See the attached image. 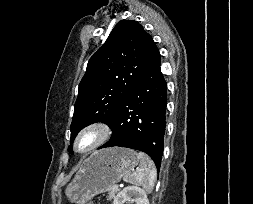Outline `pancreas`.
Returning <instances> with one entry per match:
<instances>
[{
  "label": "pancreas",
  "mask_w": 253,
  "mask_h": 204,
  "mask_svg": "<svg viewBox=\"0 0 253 204\" xmlns=\"http://www.w3.org/2000/svg\"><path fill=\"white\" fill-rule=\"evenodd\" d=\"M119 192L118 188H114V186H112L109 190V195L107 197L108 200H112L115 198L116 194Z\"/></svg>",
  "instance_id": "1"
}]
</instances>
